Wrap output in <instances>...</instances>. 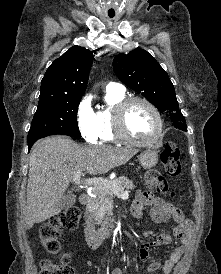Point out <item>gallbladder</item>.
<instances>
[{
	"label": "gallbladder",
	"mask_w": 221,
	"mask_h": 274,
	"mask_svg": "<svg viewBox=\"0 0 221 274\" xmlns=\"http://www.w3.org/2000/svg\"><path fill=\"white\" fill-rule=\"evenodd\" d=\"M74 203L75 196L72 193H67L61 198L58 207L63 210L71 207Z\"/></svg>",
	"instance_id": "1"
}]
</instances>
